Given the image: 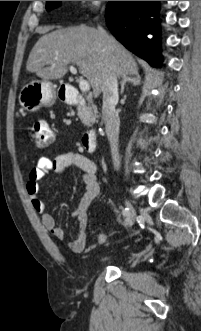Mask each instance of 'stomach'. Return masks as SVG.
Masks as SVG:
<instances>
[{
    "label": "stomach",
    "mask_w": 201,
    "mask_h": 331,
    "mask_svg": "<svg viewBox=\"0 0 201 331\" xmlns=\"http://www.w3.org/2000/svg\"><path fill=\"white\" fill-rule=\"evenodd\" d=\"M55 98L56 94L51 82L33 80L22 87L18 100L23 109L35 112L43 106H52Z\"/></svg>",
    "instance_id": "1"
}]
</instances>
